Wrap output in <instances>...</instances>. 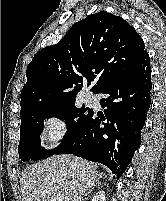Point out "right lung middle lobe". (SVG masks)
I'll list each match as a JSON object with an SVG mask.
<instances>
[{
    "instance_id": "dd1d6c3e",
    "label": "right lung middle lobe",
    "mask_w": 166,
    "mask_h": 201,
    "mask_svg": "<svg viewBox=\"0 0 166 201\" xmlns=\"http://www.w3.org/2000/svg\"><path fill=\"white\" fill-rule=\"evenodd\" d=\"M92 110L82 106L77 108L75 101L60 106L31 111L20 115L19 157L22 161L40 160L50 157L68 142L83 124L89 119ZM50 116H57L67 122V132L62 143L53 150H46L40 146V131L42 122Z\"/></svg>"
}]
</instances>
